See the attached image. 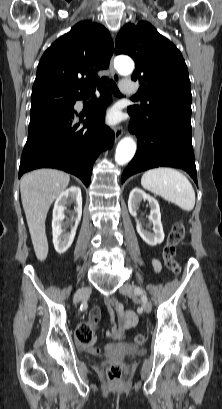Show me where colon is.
I'll return each instance as SVG.
<instances>
[{"label":"colon","instance_id":"1","mask_svg":"<svg viewBox=\"0 0 222 409\" xmlns=\"http://www.w3.org/2000/svg\"><path fill=\"white\" fill-rule=\"evenodd\" d=\"M185 236V225L183 222L176 223L167 238V242L163 248V259L166 267L175 274L180 273V266L175 259L176 246L183 240ZM94 333L88 322L81 323L76 329V338L80 344H90L93 340ZM137 344H142L145 340L142 334H138L134 338ZM107 377L112 383L122 381V367L118 363H112L107 367Z\"/></svg>","mask_w":222,"mask_h":409}]
</instances>
